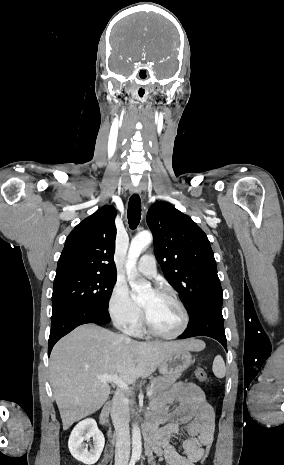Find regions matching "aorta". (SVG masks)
Segmentation results:
<instances>
[{
  "label": "aorta",
  "mask_w": 284,
  "mask_h": 465,
  "mask_svg": "<svg viewBox=\"0 0 284 465\" xmlns=\"http://www.w3.org/2000/svg\"><path fill=\"white\" fill-rule=\"evenodd\" d=\"M152 234L144 231L136 235L130 244L128 251L126 270L129 283L137 294L138 302L145 301L152 292V289L147 285H140L135 282L136 263L142 251L151 243ZM142 452L141 432L137 424H134L132 430V457L139 459Z\"/></svg>",
  "instance_id": "762f6f07"
}]
</instances>
